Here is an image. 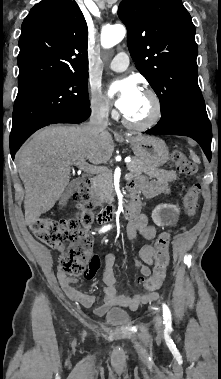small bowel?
Instances as JSON below:
<instances>
[{
	"instance_id": "1",
	"label": "small bowel",
	"mask_w": 221,
	"mask_h": 379,
	"mask_svg": "<svg viewBox=\"0 0 221 379\" xmlns=\"http://www.w3.org/2000/svg\"><path fill=\"white\" fill-rule=\"evenodd\" d=\"M134 189L141 190L148 198H152L158 194H167L169 192L168 185L162 180L147 182L138 180L131 184ZM129 240H134L137 236H141L146 240H153L156 237L157 231L155 226L149 224L148 217L143 213H137L129 218L126 229ZM155 247L150 244L144 245L139 251V258L134 259V265L140 269L143 276L147 277L151 274V266L154 263ZM105 270L102 274L103 281V302L94 309L96 315H103L110 307L115 305L136 309L140 304L154 299L156 293L152 292L146 295L134 294L127 295L118 291L116 285V276L114 271L116 258L114 254L108 253L105 256ZM88 263L82 277L86 282H95L96 276L101 271L102 266L99 264V254L91 253L88 258ZM58 280L67 298L86 308L94 306L96 296L91 292H83L74 287L76 279L68 276L63 272L58 273Z\"/></svg>"
}]
</instances>
